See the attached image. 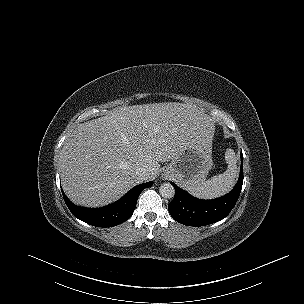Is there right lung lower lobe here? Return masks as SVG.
Wrapping results in <instances>:
<instances>
[{"instance_id":"98d812e1","label":"right lung lower lobe","mask_w":304,"mask_h":304,"mask_svg":"<svg viewBox=\"0 0 304 304\" xmlns=\"http://www.w3.org/2000/svg\"><path fill=\"white\" fill-rule=\"evenodd\" d=\"M152 184L153 182H147L137 185L118 201L108 206L95 209L76 206L70 202L63 191L62 194L66 205L76 218L96 227H112L123 223L131 217L140 193Z\"/></svg>"}]
</instances>
